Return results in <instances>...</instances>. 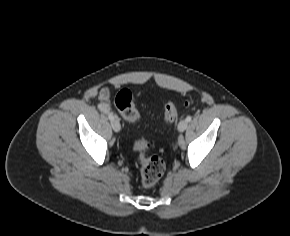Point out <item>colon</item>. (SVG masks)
Wrapping results in <instances>:
<instances>
[{
    "mask_svg": "<svg viewBox=\"0 0 290 236\" xmlns=\"http://www.w3.org/2000/svg\"><path fill=\"white\" fill-rule=\"evenodd\" d=\"M115 106L122 117L133 124L140 121V112L133 104V95L130 90L122 89L115 97ZM177 117V107L172 101H168L164 106V122L172 123ZM150 143L145 138H138L134 142V150L139 153L141 163V183L144 187L154 186L163 176L165 163L159 156L148 155Z\"/></svg>",
    "mask_w": 290,
    "mask_h": 236,
    "instance_id": "5ec220e1",
    "label": "colon"
}]
</instances>
